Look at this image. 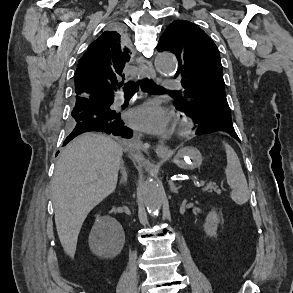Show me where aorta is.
I'll list each match as a JSON object with an SVG mask.
<instances>
[{
	"label": "aorta",
	"mask_w": 293,
	"mask_h": 293,
	"mask_svg": "<svg viewBox=\"0 0 293 293\" xmlns=\"http://www.w3.org/2000/svg\"><path fill=\"white\" fill-rule=\"evenodd\" d=\"M155 61L157 70L162 74H171L176 69V60L171 53H158ZM142 198L148 211L153 215H158L162 202V193L155 179L151 177L146 179L142 186Z\"/></svg>",
	"instance_id": "aorta-1"
}]
</instances>
